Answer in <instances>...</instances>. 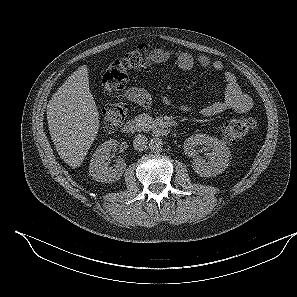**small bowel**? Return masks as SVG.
Returning a JSON list of instances; mask_svg holds the SVG:
<instances>
[{
  "label": "small bowel",
  "mask_w": 297,
  "mask_h": 297,
  "mask_svg": "<svg viewBox=\"0 0 297 297\" xmlns=\"http://www.w3.org/2000/svg\"><path fill=\"white\" fill-rule=\"evenodd\" d=\"M151 59L154 63L163 64L174 61L183 71H190L196 64L203 67L212 68L221 71L224 68L222 61L212 59L207 56L192 57L184 52H175L165 48H155L151 53ZM225 90L222 100L216 101L210 105L196 109L190 106H176L167 97L163 102L172 108H176L182 113H198L204 117H211L227 110H233L238 113H246L252 107L251 97L243 92L237 82L235 75L229 71L224 73ZM128 100L139 104L141 107L148 109L151 106L152 99L150 94L143 88L131 86L125 91Z\"/></svg>",
  "instance_id": "obj_1"
}]
</instances>
